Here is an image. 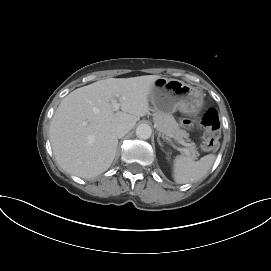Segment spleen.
Masks as SVG:
<instances>
[{
    "mask_svg": "<svg viewBox=\"0 0 271 271\" xmlns=\"http://www.w3.org/2000/svg\"><path fill=\"white\" fill-rule=\"evenodd\" d=\"M216 156L208 154L194 161L193 158L178 155L174 159L173 178L178 184L195 182L203 178L212 167Z\"/></svg>",
    "mask_w": 271,
    "mask_h": 271,
    "instance_id": "1",
    "label": "spleen"
}]
</instances>
